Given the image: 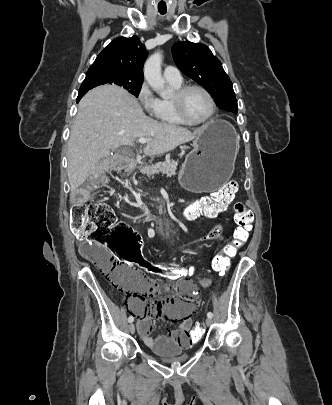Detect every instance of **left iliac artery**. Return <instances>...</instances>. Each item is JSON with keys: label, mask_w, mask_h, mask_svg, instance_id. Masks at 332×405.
I'll return each mask as SVG.
<instances>
[{"label": "left iliac artery", "mask_w": 332, "mask_h": 405, "mask_svg": "<svg viewBox=\"0 0 332 405\" xmlns=\"http://www.w3.org/2000/svg\"><path fill=\"white\" fill-rule=\"evenodd\" d=\"M207 317H208V318H212V317H213V313H212V312H208V313H207Z\"/></svg>", "instance_id": "obj_1"}]
</instances>
